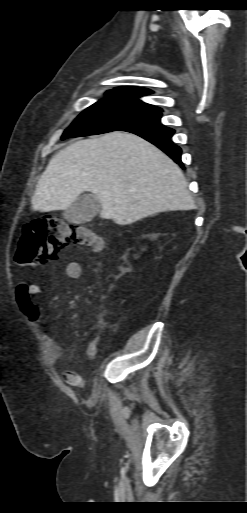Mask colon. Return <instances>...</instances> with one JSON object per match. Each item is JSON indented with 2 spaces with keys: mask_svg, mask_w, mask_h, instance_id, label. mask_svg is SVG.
<instances>
[{
  "mask_svg": "<svg viewBox=\"0 0 247 513\" xmlns=\"http://www.w3.org/2000/svg\"><path fill=\"white\" fill-rule=\"evenodd\" d=\"M69 245L100 249L103 240L91 230L68 224L57 217L35 219L23 227L15 261L21 266L41 265L56 259L58 253ZM97 348V343H94V351Z\"/></svg>",
  "mask_w": 247,
  "mask_h": 513,
  "instance_id": "1",
  "label": "colon"
}]
</instances>
